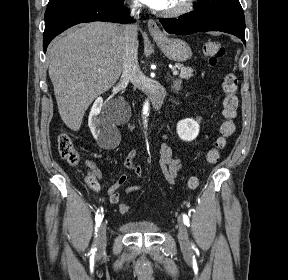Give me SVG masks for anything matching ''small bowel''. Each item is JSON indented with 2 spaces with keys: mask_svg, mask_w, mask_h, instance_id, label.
Returning a JSON list of instances; mask_svg holds the SVG:
<instances>
[{
  "mask_svg": "<svg viewBox=\"0 0 288 280\" xmlns=\"http://www.w3.org/2000/svg\"><path fill=\"white\" fill-rule=\"evenodd\" d=\"M137 155L138 153L136 150H131L130 152L127 153L123 162H124L125 167L129 171H131L136 178H139L141 176L142 171H141V168L135 163ZM87 165L90 167V169H92V171L95 173L97 177H100V171L92 162H87ZM160 168L164 175V178L170 184L175 183L179 172L183 168V165L180 159L174 153V148L168 145L166 142H164L161 145V149H160ZM127 180H128L127 175L122 174L118 177L116 182L108 189L109 201L112 204L119 203L120 201L119 189L125 185ZM141 189H142V185L133 184L125 188V193L130 194L132 192L139 191ZM122 204L123 203H120L119 210Z\"/></svg>",
  "mask_w": 288,
  "mask_h": 280,
  "instance_id": "obj_1",
  "label": "small bowel"
}]
</instances>
